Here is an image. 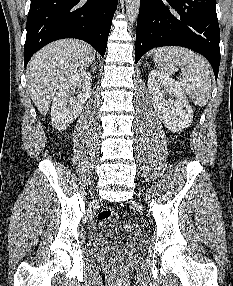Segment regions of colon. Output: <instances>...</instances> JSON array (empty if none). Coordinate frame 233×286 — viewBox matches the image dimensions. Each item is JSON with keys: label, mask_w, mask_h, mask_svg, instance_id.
I'll use <instances>...</instances> for the list:
<instances>
[{"label": "colon", "mask_w": 233, "mask_h": 286, "mask_svg": "<svg viewBox=\"0 0 233 286\" xmlns=\"http://www.w3.org/2000/svg\"><path fill=\"white\" fill-rule=\"evenodd\" d=\"M118 218V213L112 208H105L98 214V219L104 220H115Z\"/></svg>", "instance_id": "colon-1"}]
</instances>
